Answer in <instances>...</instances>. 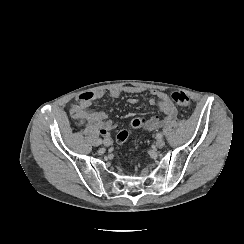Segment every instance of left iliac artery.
Instances as JSON below:
<instances>
[{
    "instance_id": "1",
    "label": "left iliac artery",
    "mask_w": 244,
    "mask_h": 244,
    "mask_svg": "<svg viewBox=\"0 0 244 244\" xmlns=\"http://www.w3.org/2000/svg\"><path fill=\"white\" fill-rule=\"evenodd\" d=\"M162 136H163V135H162L161 133H157V134H156V137H157V138H162Z\"/></svg>"
}]
</instances>
